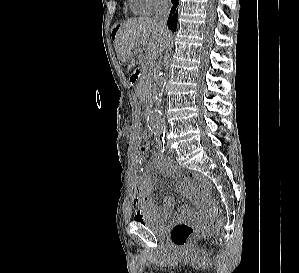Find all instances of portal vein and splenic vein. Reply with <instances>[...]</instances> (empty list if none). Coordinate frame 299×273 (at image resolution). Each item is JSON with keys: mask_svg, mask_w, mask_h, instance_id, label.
Returning a JSON list of instances; mask_svg holds the SVG:
<instances>
[{"mask_svg": "<svg viewBox=\"0 0 299 273\" xmlns=\"http://www.w3.org/2000/svg\"><path fill=\"white\" fill-rule=\"evenodd\" d=\"M146 61H148V63H150V61L152 60L150 57H146L145 59Z\"/></svg>", "mask_w": 299, "mask_h": 273, "instance_id": "obj_1", "label": "portal vein and splenic vein"}]
</instances>
